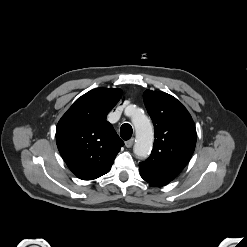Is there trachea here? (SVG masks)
Segmentation results:
<instances>
[{
	"instance_id": "3493384b",
	"label": "trachea",
	"mask_w": 247,
	"mask_h": 247,
	"mask_svg": "<svg viewBox=\"0 0 247 247\" xmlns=\"http://www.w3.org/2000/svg\"><path fill=\"white\" fill-rule=\"evenodd\" d=\"M133 130L130 124L125 123L120 128V135L123 140H129L132 136Z\"/></svg>"
}]
</instances>
